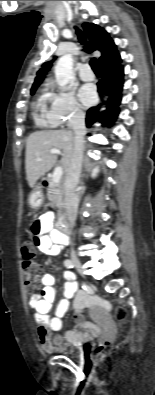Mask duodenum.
Returning <instances> with one entry per match:
<instances>
[{
	"instance_id": "1",
	"label": "duodenum",
	"mask_w": 155,
	"mask_h": 395,
	"mask_svg": "<svg viewBox=\"0 0 155 395\" xmlns=\"http://www.w3.org/2000/svg\"><path fill=\"white\" fill-rule=\"evenodd\" d=\"M58 228L61 231L62 235H64L66 233V231L68 230V224H67V221L65 220V218L59 219Z\"/></svg>"
}]
</instances>
